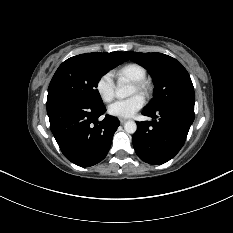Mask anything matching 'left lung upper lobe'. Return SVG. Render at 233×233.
I'll use <instances>...</instances> for the list:
<instances>
[{
  "mask_svg": "<svg viewBox=\"0 0 233 233\" xmlns=\"http://www.w3.org/2000/svg\"><path fill=\"white\" fill-rule=\"evenodd\" d=\"M128 58L148 69L155 89L145 109L157 110L174 105L194 110L195 95L191 78L175 58L162 53L126 52Z\"/></svg>",
  "mask_w": 233,
  "mask_h": 233,
  "instance_id": "obj_1",
  "label": "left lung upper lobe"
}]
</instances>
